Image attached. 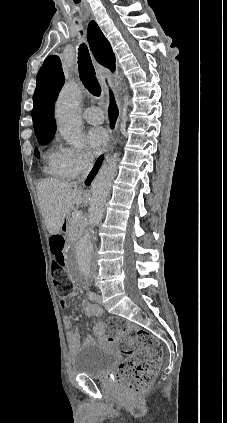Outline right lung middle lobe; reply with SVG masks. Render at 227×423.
Here are the masks:
<instances>
[{
	"label": "right lung middle lobe",
	"instance_id": "obj_1",
	"mask_svg": "<svg viewBox=\"0 0 227 423\" xmlns=\"http://www.w3.org/2000/svg\"><path fill=\"white\" fill-rule=\"evenodd\" d=\"M53 136H54V135H51V136H43V137H37V139H38L39 144L43 145V144H47V143H49V142L52 140ZM35 156H36L37 158H39V157H40V154H39L38 149H35Z\"/></svg>",
	"mask_w": 227,
	"mask_h": 423
}]
</instances>
